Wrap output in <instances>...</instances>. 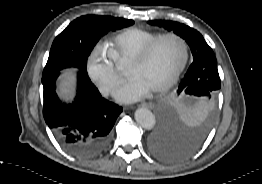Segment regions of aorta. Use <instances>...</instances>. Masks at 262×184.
Masks as SVG:
<instances>
[{
    "mask_svg": "<svg viewBox=\"0 0 262 184\" xmlns=\"http://www.w3.org/2000/svg\"><path fill=\"white\" fill-rule=\"evenodd\" d=\"M136 122L144 129L151 130L155 126V116L147 108H139L135 111Z\"/></svg>",
    "mask_w": 262,
    "mask_h": 184,
    "instance_id": "762f6f07",
    "label": "aorta"
}]
</instances>
